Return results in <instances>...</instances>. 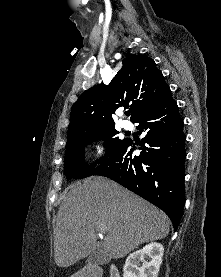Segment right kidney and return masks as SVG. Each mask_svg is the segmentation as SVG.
Masks as SVG:
<instances>
[{
  "instance_id": "1",
  "label": "right kidney",
  "mask_w": 221,
  "mask_h": 277,
  "mask_svg": "<svg viewBox=\"0 0 221 277\" xmlns=\"http://www.w3.org/2000/svg\"><path fill=\"white\" fill-rule=\"evenodd\" d=\"M163 253L164 247L157 242H152L141 250L133 252L125 261L123 277H157ZM140 262L143 263L142 266H139Z\"/></svg>"
}]
</instances>
